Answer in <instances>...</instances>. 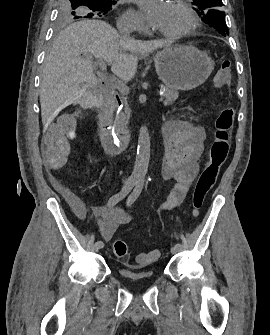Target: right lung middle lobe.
Returning a JSON list of instances; mask_svg holds the SVG:
<instances>
[{"mask_svg":"<svg viewBox=\"0 0 270 335\" xmlns=\"http://www.w3.org/2000/svg\"><path fill=\"white\" fill-rule=\"evenodd\" d=\"M114 0H60L58 7V23L64 24L73 20L105 16L112 10Z\"/></svg>","mask_w":270,"mask_h":335,"instance_id":"dd1d6c3e","label":"right lung middle lobe"}]
</instances>
